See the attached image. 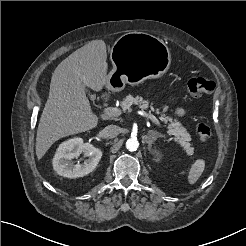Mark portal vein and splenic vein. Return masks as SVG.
I'll return each mask as SVG.
<instances>
[{"instance_id":"obj_1","label":"portal vein and splenic vein","mask_w":246,"mask_h":246,"mask_svg":"<svg viewBox=\"0 0 246 246\" xmlns=\"http://www.w3.org/2000/svg\"><path fill=\"white\" fill-rule=\"evenodd\" d=\"M105 115L108 117H118L122 114L121 109L116 108V107H108L105 109ZM146 117L149 118L153 123L156 125H160L159 120L152 114H146Z\"/></svg>"}]
</instances>
